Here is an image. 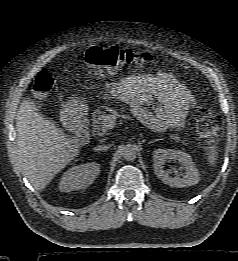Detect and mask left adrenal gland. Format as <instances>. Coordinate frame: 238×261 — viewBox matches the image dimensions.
<instances>
[{
    "mask_svg": "<svg viewBox=\"0 0 238 261\" xmlns=\"http://www.w3.org/2000/svg\"><path fill=\"white\" fill-rule=\"evenodd\" d=\"M159 140H161V139H154V140L148 142V144L154 143V142L159 141Z\"/></svg>",
    "mask_w": 238,
    "mask_h": 261,
    "instance_id": "1",
    "label": "left adrenal gland"
}]
</instances>
